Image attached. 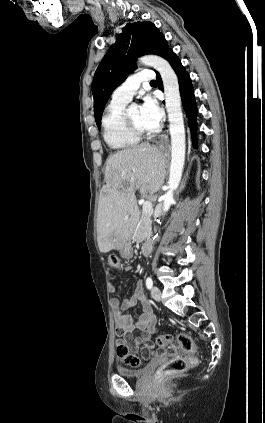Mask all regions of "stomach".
Here are the masks:
<instances>
[{"label":"stomach","instance_id":"obj_1","mask_svg":"<svg viewBox=\"0 0 265 423\" xmlns=\"http://www.w3.org/2000/svg\"><path fill=\"white\" fill-rule=\"evenodd\" d=\"M120 255L125 259H130L133 256V249L130 240L123 242L119 248Z\"/></svg>","mask_w":265,"mask_h":423}]
</instances>
